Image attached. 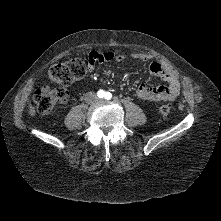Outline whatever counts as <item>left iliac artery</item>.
I'll list each match as a JSON object with an SVG mask.
<instances>
[{"label":"left iliac artery","instance_id":"obj_1","mask_svg":"<svg viewBox=\"0 0 221 221\" xmlns=\"http://www.w3.org/2000/svg\"><path fill=\"white\" fill-rule=\"evenodd\" d=\"M112 98V94L110 92L105 93V99L109 100Z\"/></svg>","mask_w":221,"mask_h":221}]
</instances>
